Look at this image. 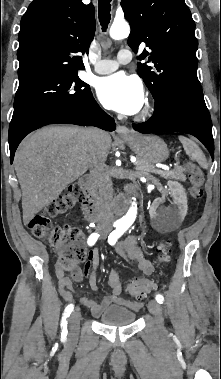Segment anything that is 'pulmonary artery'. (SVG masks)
<instances>
[{
    "label": "pulmonary artery",
    "instance_id": "pulmonary-artery-1",
    "mask_svg": "<svg viewBox=\"0 0 221 379\" xmlns=\"http://www.w3.org/2000/svg\"><path fill=\"white\" fill-rule=\"evenodd\" d=\"M131 59V51L128 49H121L118 52L117 58L115 60L97 61L94 66V71L98 74H108L118 69L120 65L129 63Z\"/></svg>",
    "mask_w": 221,
    "mask_h": 379
}]
</instances>
